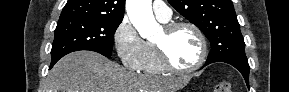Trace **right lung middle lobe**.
Returning a JSON list of instances; mask_svg holds the SVG:
<instances>
[{"label":"right lung middle lobe","instance_id":"obj_1","mask_svg":"<svg viewBox=\"0 0 289 92\" xmlns=\"http://www.w3.org/2000/svg\"><path fill=\"white\" fill-rule=\"evenodd\" d=\"M122 20L84 18L59 20L52 44L51 62H57L73 51L90 50L111 57L113 35Z\"/></svg>","mask_w":289,"mask_h":92}]
</instances>
